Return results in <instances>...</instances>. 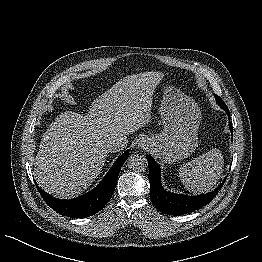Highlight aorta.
<instances>
[{
	"instance_id": "aorta-1",
	"label": "aorta",
	"mask_w": 262,
	"mask_h": 262,
	"mask_svg": "<svg viewBox=\"0 0 262 262\" xmlns=\"http://www.w3.org/2000/svg\"><path fill=\"white\" fill-rule=\"evenodd\" d=\"M127 165L134 171H144L148 167L147 160L142 155H132L127 160Z\"/></svg>"
}]
</instances>
